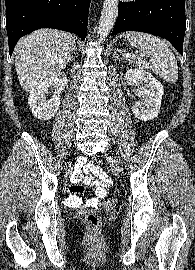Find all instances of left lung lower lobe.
I'll return each instance as SVG.
<instances>
[{
	"mask_svg": "<svg viewBox=\"0 0 195 270\" xmlns=\"http://www.w3.org/2000/svg\"><path fill=\"white\" fill-rule=\"evenodd\" d=\"M185 0H136L121 2L112 35L140 31L166 38L183 54Z\"/></svg>",
	"mask_w": 195,
	"mask_h": 270,
	"instance_id": "left-lung-lower-lobe-1",
	"label": "left lung lower lobe"
}]
</instances>
